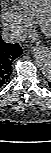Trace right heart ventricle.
<instances>
[{
    "label": "right heart ventricle",
    "instance_id": "right-heart-ventricle-1",
    "mask_svg": "<svg viewBox=\"0 0 51 153\" xmlns=\"http://www.w3.org/2000/svg\"><path fill=\"white\" fill-rule=\"evenodd\" d=\"M19 9L31 22H38L51 9V0H18Z\"/></svg>",
    "mask_w": 51,
    "mask_h": 153
}]
</instances>
